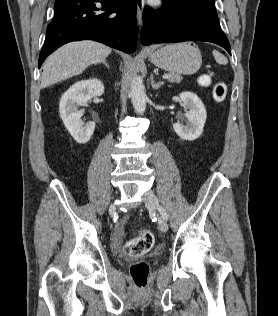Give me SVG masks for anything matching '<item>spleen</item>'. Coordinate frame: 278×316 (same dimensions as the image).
<instances>
[{"instance_id":"obj_1","label":"spleen","mask_w":278,"mask_h":316,"mask_svg":"<svg viewBox=\"0 0 278 316\" xmlns=\"http://www.w3.org/2000/svg\"><path fill=\"white\" fill-rule=\"evenodd\" d=\"M213 56H214L216 62L219 64L225 65L228 63L227 58L216 50L213 51Z\"/></svg>"}]
</instances>
